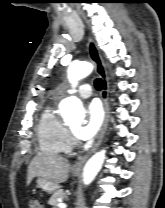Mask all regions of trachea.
<instances>
[{"label": "trachea", "instance_id": "trachea-1", "mask_svg": "<svg viewBox=\"0 0 165 208\" xmlns=\"http://www.w3.org/2000/svg\"><path fill=\"white\" fill-rule=\"evenodd\" d=\"M94 84H95L96 89L98 90L102 89V80L100 78L95 79Z\"/></svg>", "mask_w": 165, "mask_h": 208}]
</instances>
